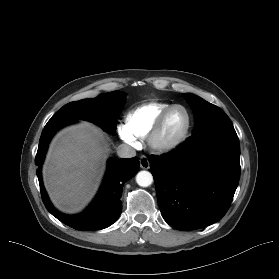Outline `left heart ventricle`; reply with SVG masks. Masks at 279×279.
<instances>
[{
  "instance_id": "left-heart-ventricle-1",
  "label": "left heart ventricle",
  "mask_w": 279,
  "mask_h": 279,
  "mask_svg": "<svg viewBox=\"0 0 279 279\" xmlns=\"http://www.w3.org/2000/svg\"><path fill=\"white\" fill-rule=\"evenodd\" d=\"M186 125V115L182 109L173 110L166 118L160 133V140L171 141L177 138Z\"/></svg>"
}]
</instances>
